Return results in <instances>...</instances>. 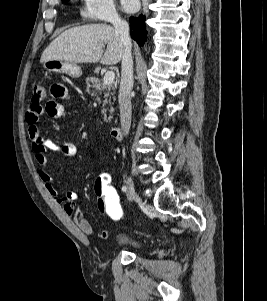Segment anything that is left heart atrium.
Wrapping results in <instances>:
<instances>
[{"instance_id":"1","label":"left heart atrium","mask_w":267,"mask_h":301,"mask_svg":"<svg viewBox=\"0 0 267 301\" xmlns=\"http://www.w3.org/2000/svg\"><path fill=\"white\" fill-rule=\"evenodd\" d=\"M122 8L127 12H133L138 7V0H121Z\"/></svg>"}]
</instances>
